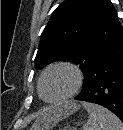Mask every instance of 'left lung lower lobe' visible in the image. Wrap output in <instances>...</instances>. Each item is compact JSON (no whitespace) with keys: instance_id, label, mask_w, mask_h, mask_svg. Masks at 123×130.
I'll return each instance as SVG.
<instances>
[{"instance_id":"obj_1","label":"left lung lower lobe","mask_w":123,"mask_h":130,"mask_svg":"<svg viewBox=\"0 0 123 130\" xmlns=\"http://www.w3.org/2000/svg\"><path fill=\"white\" fill-rule=\"evenodd\" d=\"M76 100L102 105L123 121V28L93 62Z\"/></svg>"}]
</instances>
